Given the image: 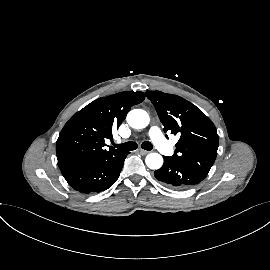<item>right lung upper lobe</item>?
Returning a JSON list of instances; mask_svg holds the SVG:
<instances>
[{
	"label": "right lung upper lobe",
	"instance_id": "obj_1",
	"mask_svg": "<svg viewBox=\"0 0 270 270\" xmlns=\"http://www.w3.org/2000/svg\"><path fill=\"white\" fill-rule=\"evenodd\" d=\"M145 93L125 91L101 97L77 112L63 127L56 142L60 170L88 163L121 152L106 150L105 139H112V128L119 127L130 108Z\"/></svg>",
	"mask_w": 270,
	"mask_h": 270
}]
</instances>
